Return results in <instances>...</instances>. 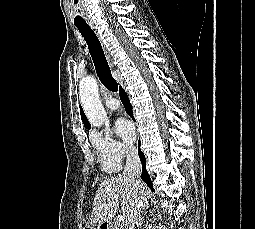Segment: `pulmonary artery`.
<instances>
[{"instance_id": "obj_1", "label": "pulmonary artery", "mask_w": 255, "mask_h": 229, "mask_svg": "<svg viewBox=\"0 0 255 229\" xmlns=\"http://www.w3.org/2000/svg\"><path fill=\"white\" fill-rule=\"evenodd\" d=\"M106 106L109 110H116L119 107V102L117 99L110 97L106 100Z\"/></svg>"}]
</instances>
